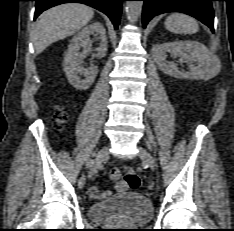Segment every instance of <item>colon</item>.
Masks as SVG:
<instances>
[{
	"label": "colon",
	"mask_w": 234,
	"mask_h": 231,
	"mask_svg": "<svg viewBox=\"0 0 234 231\" xmlns=\"http://www.w3.org/2000/svg\"><path fill=\"white\" fill-rule=\"evenodd\" d=\"M67 120V114L62 109H57L55 112V126L60 128ZM112 180H119L122 173L119 170H113L110 174ZM123 180L127 187L131 190H136L140 185V178L138 174L131 168L125 169L123 173Z\"/></svg>",
	"instance_id": "1"
}]
</instances>
